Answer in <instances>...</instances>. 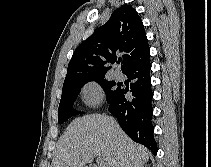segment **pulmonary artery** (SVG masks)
<instances>
[{
	"label": "pulmonary artery",
	"mask_w": 211,
	"mask_h": 167,
	"mask_svg": "<svg viewBox=\"0 0 211 167\" xmlns=\"http://www.w3.org/2000/svg\"><path fill=\"white\" fill-rule=\"evenodd\" d=\"M114 76L118 80H122L123 79V74H122V72L120 70H116L115 73H114Z\"/></svg>",
	"instance_id": "1"
}]
</instances>
